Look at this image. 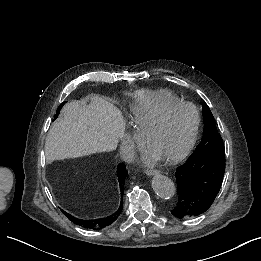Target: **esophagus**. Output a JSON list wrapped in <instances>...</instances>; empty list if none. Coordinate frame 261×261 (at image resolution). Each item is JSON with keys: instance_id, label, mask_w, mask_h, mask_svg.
<instances>
[{"instance_id": "obj_1", "label": "esophagus", "mask_w": 261, "mask_h": 261, "mask_svg": "<svg viewBox=\"0 0 261 261\" xmlns=\"http://www.w3.org/2000/svg\"><path fill=\"white\" fill-rule=\"evenodd\" d=\"M159 173H160V171L159 170H155V169H147V170H145V174L148 175V176L157 175Z\"/></svg>"}]
</instances>
